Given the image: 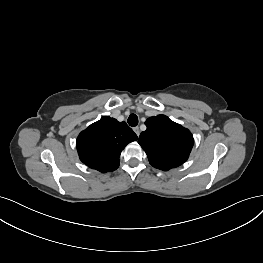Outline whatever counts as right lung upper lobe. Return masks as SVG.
<instances>
[{
	"label": "right lung upper lobe",
	"instance_id": "obj_1",
	"mask_svg": "<svg viewBox=\"0 0 263 263\" xmlns=\"http://www.w3.org/2000/svg\"><path fill=\"white\" fill-rule=\"evenodd\" d=\"M137 138L124 121L104 116L79 134L76 146L84 164L105 173L119 167L121 151Z\"/></svg>",
	"mask_w": 263,
	"mask_h": 263
}]
</instances>
